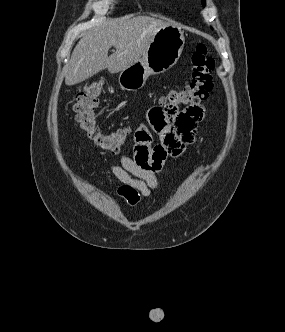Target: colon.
<instances>
[{
    "instance_id": "1",
    "label": "colon",
    "mask_w": 285,
    "mask_h": 332,
    "mask_svg": "<svg viewBox=\"0 0 285 332\" xmlns=\"http://www.w3.org/2000/svg\"><path fill=\"white\" fill-rule=\"evenodd\" d=\"M192 74L189 84L170 92V103H177V107L189 108L205 100L213 89L212 71L214 59L207 47L200 43L192 54ZM104 88L102 80H95L87 84L77 95L74 104L75 119L87 138L97 147L109 152H117L123 147L129 135L128 128H121L112 132H103L97 122L95 109ZM163 97L157 106H165Z\"/></svg>"
}]
</instances>
